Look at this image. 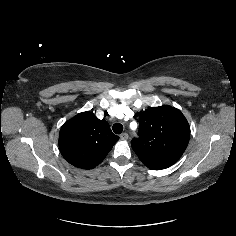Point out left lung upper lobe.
I'll return each mask as SVG.
<instances>
[{"label":"left lung upper lobe","mask_w":236,"mask_h":236,"mask_svg":"<svg viewBox=\"0 0 236 236\" xmlns=\"http://www.w3.org/2000/svg\"><path fill=\"white\" fill-rule=\"evenodd\" d=\"M190 126L184 115L170 106L152 107L139 117V138L132 148L144 165L160 170L176 163L187 148Z\"/></svg>","instance_id":"left-lung-upper-lobe-1"}]
</instances>
